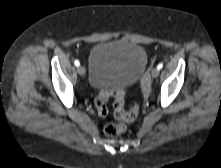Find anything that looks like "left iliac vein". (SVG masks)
Returning <instances> with one entry per match:
<instances>
[{
  "mask_svg": "<svg viewBox=\"0 0 221 168\" xmlns=\"http://www.w3.org/2000/svg\"><path fill=\"white\" fill-rule=\"evenodd\" d=\"M151 75H152L153 78H156L159 75V69L154 68L151 72Z\"/></svg>",
  "mask_w": 221,
  "mask_h": 168,
  "instance_id": "obj_1",
  "label": "left iliac vein"
}]
</instances>
